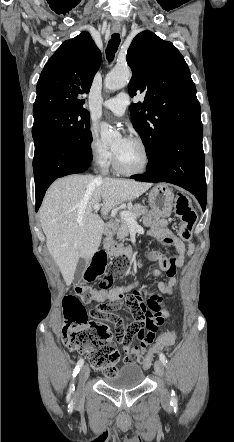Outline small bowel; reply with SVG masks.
<instances>
[{"mask_svg":"<svg viewBox=\"0 0 234 442\" xmlns=\"http://www.w3.org/2000/svg\"><path fill=\"white\" fill-rule=\"evenodd\" d=\"M144 224L151 228L149 235L160 239L168 240L177 252L176 256L166 257L164 255H156L155 259L159 264V268L165 271L168 280L158 283V290L163 294H173L176 286V271L184 265L186 257L191 256L194 250V245L191 242L185 244L172 231L166 228L167 220L160 218L155 212L149 213L145 219ZM133 286L128 285L121 287L123 292L129 291ZM111 308L106 305L101 309L102 314H92L90 319H87V328H93L94 331H104L109 334L112 328L109 322H113L114 332L116 333L115 342L122 343L121 347L126 353L127 367L130 370H137L140 364H144L146 356H144L147 345L153 342L156 337L158 328H164L165 322L170 313L163 309L162 314H134L130 323H121V317L114 315ZM138 340L139 344L132 346Z\"/></svg>","mask_w":234,"mask_h":442,"instance_id":"small-bowel-1","label":"small bowel"}]
</instances>
